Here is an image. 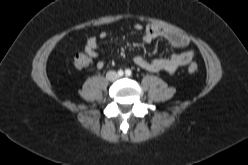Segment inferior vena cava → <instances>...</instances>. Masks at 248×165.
Instances as JSON below:
<instances>
[{
    "label": "inferior vena cava",
    "instance_id": "1",
    "mask_svg": "<svg viewBox=\"0 0 248 165\" xmlns=\"http://www.w3.org/2000/svg\"><path fill=\"white\" fill-rule=\"evenodd\" d=\"M107 78L109 80H111V81H114V80H116L118 78V75H117L116 72L110 71V72L107 73Z\"/></svg>",
    "mask_w": 248,
    "mask_h": 165
}]
</instances>
